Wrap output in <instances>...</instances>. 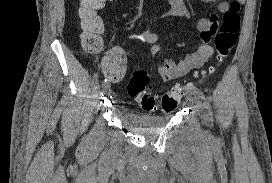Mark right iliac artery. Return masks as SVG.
Here are the masks:
<instances>
[{"instance_id": "right-iliac-artery-1", "label": "right iliac artery", "mask_w": 272, "mask_h": 183, "mask_svg": "<svg viewBox=\"0 0 272 183\" xmlns=\"http://www.w3.org/2000/svg\"><path fill=\"white\" fill-rule=\"evenodd\" d=\"M108 85H110L109 80H108V79H105V80L103 81V83H102V86H103V87H106V86H108Z\"/></svg>"}]
</instances>
